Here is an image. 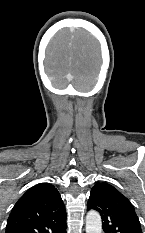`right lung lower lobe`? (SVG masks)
I'll list each match as a JSON object with an SVG mask.
<instances>
[{
  "label": "right lung lower lobe",
  "instance_id": "98d812e1",
  "mask_svg": "<svg viewBox=\"0 0 145 233\" xmlns=\"http://www.w3.org/2000/svg\"><path fill=\"white\" fill-rule=\"evenodd\" d=\"M57 233H66V225L61 228L59 231H57Z\"/></svg>",
  "mask_w": 145,
  "mask_h": 233
}]
</instances>
